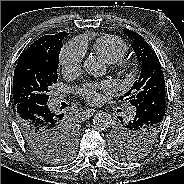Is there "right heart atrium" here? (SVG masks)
<instances>
[{
  "mask_svg": "<svg viewBox=\"0 0 184 184\" xmlns=\"http://www.w3.org/2000/svg\"><path fill=\"white\" fill-rule=\"evenodd\" d=\"M86 48L80 39L69 41L60 52V64L67 72H78L85 57Z\"/></svg>",
  "mask_w": 184,
  "mask_h": 184,
  "instance_id": "obj_1",
  "label": "right heart atrium"
}]
</instances>
